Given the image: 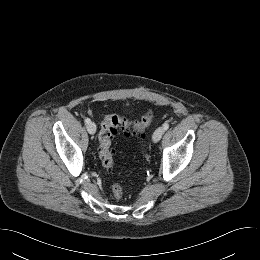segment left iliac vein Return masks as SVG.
<instances>
[{
	"label": "left iliac vein",
	"mask_w": 260,
	"mask_h": 260,
	"mask_svg": "<svg viewBox=\"0 0 260 260\" xmlns=\"http://www.w3.org/2000/svg\"><path fill=\"white\" fill-rule=\"evenodd\" d=\"M163 134H164L163 128L156 129L154 134H153V137H152L153 142L154 143L158 142L161 139Z\"/></svg>",
	"instance_id": "obj_1"
}]
</instances>
